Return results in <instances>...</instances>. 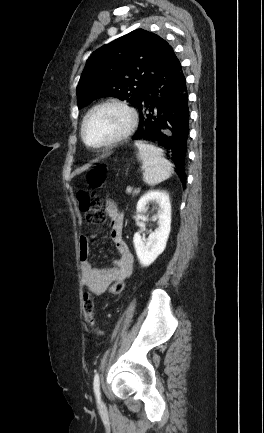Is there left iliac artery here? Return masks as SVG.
Returning <instances> with one entry per match:
<instances>
[{"mask_svg":"<svg viewBox=\"0 0 264 433\" xmlns=\"http://www.w3.org/2000/svg\"><path fill=\"white\" fill-rule=\"evenodd\" d=\"M93 388L98 401H100V381H99V374L97 372L95 373L94 376Z\"/></svg>","mask_w":264,"mask_h":433,"instance_id":"1","label":"left iliac artery"}]
</instances>
